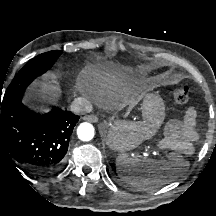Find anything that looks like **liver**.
<instances>
[{
    "label": "liver",
    "mask_w": 216,
    "mask_h": 216,
    "mask_svg": "<svg viewBox=\"0 0 216 216\" xmlns=\"http://www.w3.org/2000/svg\"><path fill=\"white\" fill-rule=\"evenodd\" d=\"M55 80L49 83H42L41 98L43 101H55L59 96V89L53 85ZM126 93L128 95L126 103L130 107H134L142 98V95L136 94L133 90L127 89Z\"/></svg>",
    "instance_id": "obj_1"
}]
</instances>
